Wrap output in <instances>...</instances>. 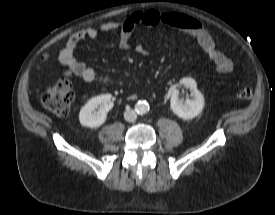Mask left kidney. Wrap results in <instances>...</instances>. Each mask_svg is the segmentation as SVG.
<instances>
[{
	"mask_svg": "<svg viewBox=\"0 0 275 215\" xmlns=\"http://www.w3.org/2000/svg\"><path fill=\"white\" fill-rule=\"evenodd\" d=\"M181 85L193 90L194 99L183 101L179 99V92L173 89L171 92L170 106L175 115L179 118L188 120L196 117L201 113L204 107V97L197 89L196 81L190 77H184L179 82Z\"/></svg>",
	"mask_w": 275,
	"mask_h": 215,
	"instance_id": "left-kidney-1",
	"label": "left kidney"
}]
</instances>
